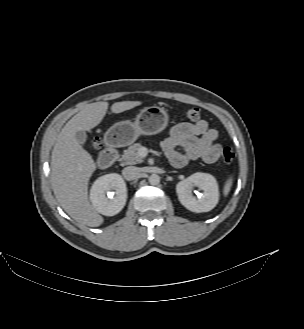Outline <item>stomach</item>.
Returning <instances> with one entry per match:
<instances>
[{
	"label": "stomach",
	"mask_w": 304,
	"mask_h": 329,
	"mask_svg": "<svg viewBox=\"0 0 304 329\" xmlns=\"http://www.w3.org/2000/svg\"><path fill=\"white\" fill-rule=\"evenodd\" d=\"M168 121V113L163 107H145L134 122L120 121L111 126L104 135V142L109 147L128 146L141 135H155L163 131Z\"/></svg>",
	"instance_id": "stomach-1"
}]
</instances>
